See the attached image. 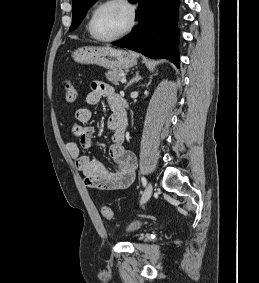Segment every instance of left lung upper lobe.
Wrapping results in <instances>:
<instances>
[{
	"label": "left lung upper lobe",
	"mask_w": 259,
	"mask_h": 283,
	"mask_svg": "<svg viewBox=\"0 0 259 283\" xmlns=\"http://www.w3.org/2000/svg\"><path fill=\"white\" fill-rule=\"evenodd\" d=\"M95 1L96 0H72V25L69 31H73L79 26L87 10Z\"/></svg>",
	"instance_id": "1"
}]
</instances>
